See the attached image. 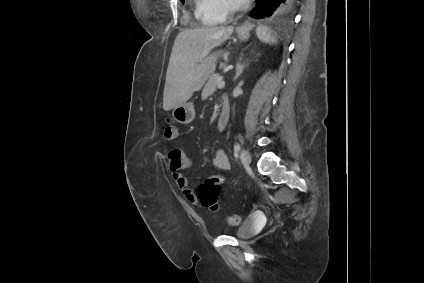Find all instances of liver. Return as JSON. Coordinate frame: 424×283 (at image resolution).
<instances>
[{"label":"liver","mask_w":424,"mask_h":283,"mask_svg":"<svg viewBox=\"0 0 424 283\" xmlns=\"http://www.w3.org/2000/svg\"><path fill=\"white\" fill-rule=\"evenodd\" d=\"M234 28L200 27L180 32L172 48L163 93V109L169 111L186 103L216 70L223 51L203 56L229 39Z\"/></svg>","instance_id":"6515ba94"}]
</instances>
